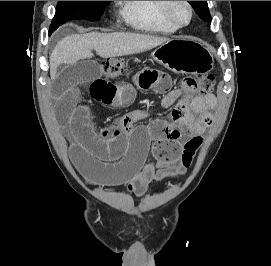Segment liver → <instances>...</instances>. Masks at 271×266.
<instances>
[{"mask_svg":"<svg viewBox=\"0 0 271 266\" xmlns=\"http://www.w3.org/2000/svg\"><path fill=\"white\" fill-rule=\"evenodd\" d=\"M169 41L166 37L138 33L73 34L62 39L50 56V77H57L59 62H71L91 58L92 50L102 58H111L141 53Z\"/></svg>","mask_w":271,"mask_h":266,"instance_id":"obj_1","label":"liver"}]
</instances>
